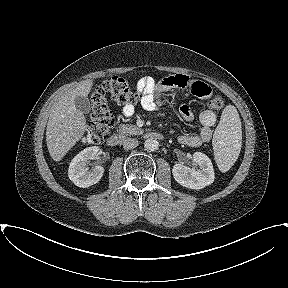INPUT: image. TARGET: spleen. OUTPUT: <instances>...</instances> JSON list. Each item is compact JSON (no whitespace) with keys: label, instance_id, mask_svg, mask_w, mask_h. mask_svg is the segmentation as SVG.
<instances>
[{"label":"spleen","instance_id":"spleen-1","mask_svg":"<svg viewBox=\"0 0 288 288\" xmlns=\"http://www.w3.org/2000/svg\"><path fill=\"white\" fill-rule=\"evenodd\" d=\"M242 129L237 109L233 105L224 108L213 135V150L220 171H228L238 159L241 150Z\"/></svg>","mask_w":288,"mask_h":288}]
</instances>
